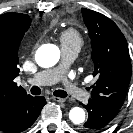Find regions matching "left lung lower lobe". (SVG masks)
<instances>
[{"instance_id":"1","label":"left lung lower lobe","mask_w":133,"mask_h":133,"mask_svg":"<svg viewBox=\"0 0 133 133\" xmlns=\"http://www.w3.org/2000/svg\"><path fill=\"white\" fill-rule=\"evenodd\" d=\"M84 107L88 111V120L80 127L82 133H99L119 113V109L108 107L95 100H89L88 104L84 105Z\"/></svg>"}]
</instances>
